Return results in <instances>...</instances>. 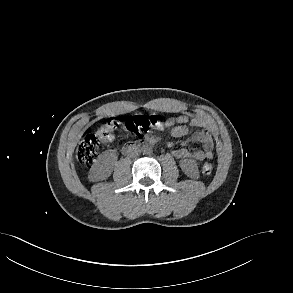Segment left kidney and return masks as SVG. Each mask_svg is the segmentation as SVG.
Instances as JSON below:
<instances>
[{
    "instance_id": "5707ae66",
    "label": "left kidney",
    "mask_w": 293,
    "mask_h": 293,
    "mask_svg": "<svg viewBox=\"0 0 293 293\" xmlns=\"http://www.w3.org/2000/svg\"><path fill=\"white\" fill-rule=\"evenodd\" d=\"M180 167L189 177L197 178L199 176L198 166L194 160H182Z\"/></svg>"
}]
</instances>
